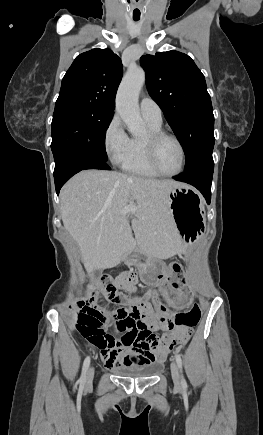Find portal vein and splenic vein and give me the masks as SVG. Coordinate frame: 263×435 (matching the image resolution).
Listing matches in <instances>:
<instances>
[{
    "label": "portal vein and splenic vein",
    "mask_w": 263,
    "mask_h": 435,
    "mask_svg": "<svg viewBox=\"0 0 263 435\" xmlns=\"http://www.w3.org/2000/svg\"><path fill=\"white\" fill-rule=\"evenodd\" d=\"M136 206L135 205H129L127 206L121 213V216H125L127 214H135Z\"/></svg>",
    "instance_id": "18ae733b"
}]
</instances>
